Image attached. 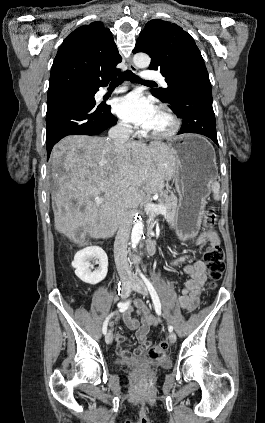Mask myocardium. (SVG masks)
Returning a JSON list of instances; mask_svg holds the SVG:
<instances>
[{"instance_id":"myocardium-1","label":"myocardium","mask_w":265,"mask_h":423,"mask_svg":"<svg viewBox=\"0 0 265 423\" xmlns=\"http://www.w3.org/2000/svg\"><path fill=\"white\" fill-rule=\"evenodd\" d=\"M158 110L160 112H162L169 119L170 126L167 129L161 130V131L148 130V133L151 136L159 138V139H165V138H169V137L176 135L181 128L180 119L177 117V115L175 113H173V111L171 109H169L165 105H160L158 107Z\"/></svg>"}]
</instances>
